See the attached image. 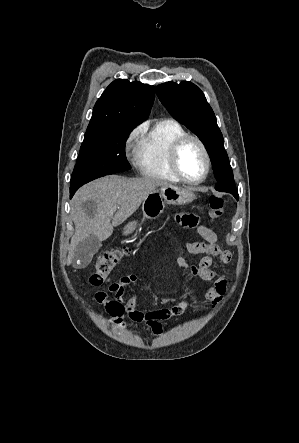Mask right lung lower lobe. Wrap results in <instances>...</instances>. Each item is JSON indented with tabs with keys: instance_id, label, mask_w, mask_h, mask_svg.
I'll return each mask as SVG.
<instances>
[{
	"instance_id": "right-lung-lower-lobe-1",
	"label": "right lung lower lobe",
	"mask_w": 299,
	"mask_h": 443,
	"mask_svg": "<svg viewBox=\"0 0 299 443\" xmlns=\"http://www.w3.org/2000/svg\"><path fill=\"white\" fill-rule=\"evenodd\" d=\"M78 188H72L70 189V198L74 195V193L77 191Z\"/></svg>"
}]
</instances>
